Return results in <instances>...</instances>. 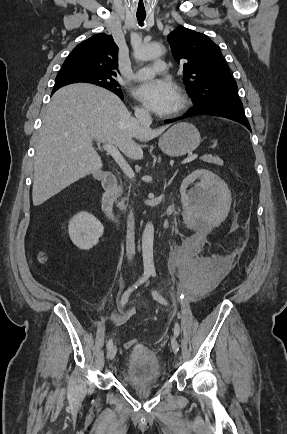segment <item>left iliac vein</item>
Masks as SVG:
<instances>
[{
    "instance_id": "1",
    "label": "left iliac vein",
    "mask_w": 287,
    "mask_h": 434,
    "mask_svg": "<svg viewBox=\"0 0 287 434\" xmlns=\"http://www.w3.org/2000/svg\"><path fill=\"white\" fill-rule=\"evenodd\" d=\"M171 348H172L174 353H176L178 351L179 343H178V340L176 339V337H172V339H171Z\"/></svg>"
}]
</instances>
